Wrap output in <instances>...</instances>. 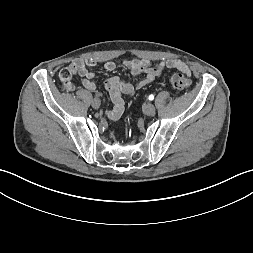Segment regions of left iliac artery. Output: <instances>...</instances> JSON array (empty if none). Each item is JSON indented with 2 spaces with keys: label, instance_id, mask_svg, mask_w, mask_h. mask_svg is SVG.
I'll return each mask as SVG.
<instances>
[{
  "label": "left iliac artery",
  "instance_id": "44dca946",
  "mask_svg": "<svg viewBox=\"0 0 253 253\" xmlns=\"http://www.w3.org/2000/svg\"><path fill=\"white\" fill-rule=\"evenodd\" d=\"M154 99V96L151 94L149 95V100H153Z\"/></svg>",
  "mask_w": 253,
  "mask_h": 253
}]
</instances>
